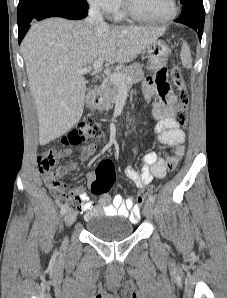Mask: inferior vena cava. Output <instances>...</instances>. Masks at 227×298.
<instances>
[{
    "instance_id": "obj_1",
    "label": "inferior vena cava",
    "mask_w": 227,
    "mask_h": 298,
    "mask_svg": "<svg viewBox=\"0 0 227 298\" xmlns=\"http://www.w3.org/2000/svg\"><path fill=\"white\" fill-rule=\"evenodd\" d=\"M87 26H105L106 23L104 22L103 15L100 11V7L96 4L91 5L88 16L85 19Z\"/></svg>"
}]
</instances>
